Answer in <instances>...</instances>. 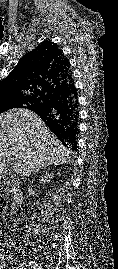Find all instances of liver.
Here are the masks:
<instances>
[{
  "label": "liver",
  "instance_id": "obj_1",
  "mask_svg": "<svg viewBox=\"0 0 118 269\" xmlns=\"http://www.w3.org/2000/svg\"><path fill=\"white\" fill-rule=\"evenodd\" d=\"M69 160L70 151L32 111L12 109L0 115V174L11 165L27 176L36 168Z\"/></svg>",
  "mask_w": 118,
  "mask_h": 269
}]
</instances>
